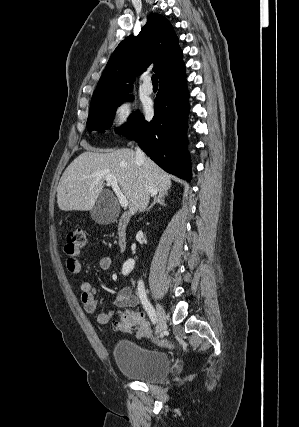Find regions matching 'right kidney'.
I'll list each match as a JSON object with an SVG mask.
<instances>
[{
    "label": "right kidney",
    "instance_id": "right-kidney-1",
    "mask_svg": "<svg viewBox=\"0 0 299 427\" xmlns=\"http://www.w3.org/2000/svg\"><path fill=\"white\" fill-rule=\"evenodd\" d=\"M134 266H135V261L133 260V259H128L124 264H123V267H122V274L123 275H128L133 269H134Z\"/></svg>",
    "mask_w": 299,
    "mask_h": 427
}]
</instances>
